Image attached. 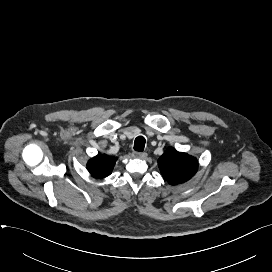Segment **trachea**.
I'll return each mask as SVG.
<instances>
[{"label":"trachea","instance_id":"3493384b","mask_svg":"<svg viewBox=\"0 0 272 272\" xmlns=\"http://www.w3.org/2000/svg\"><path fill=\"white\" fill-rule=\"evenodd\" d=\"M145 138L143 136H138L134 141V150L142 152L145 147Z\"/></svg>","mask_w":272,"mask_h":272}]
</instances>
